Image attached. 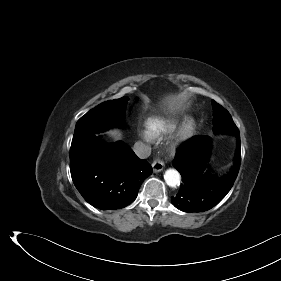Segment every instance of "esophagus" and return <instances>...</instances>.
Returning <instances> with one entry per match:
<instances>
[{
    "mask_svg": "<svg viewBox=\"0 0 281 281\" xmlns=\"http://www.w3.org/2000/svg\"><path fill=\"white\" fill-rule=\"evenodd\" d=\"M164 166V162L160 159H155L152 163V169L155 173L162 171L164 169Z\"/></svg>",
    "mask_w": 281,
    "mask_h": 281,
    "instance_id": "obj_1",
    "label": "esophagus"
}]
</instances>
